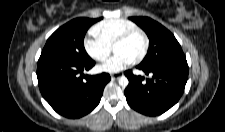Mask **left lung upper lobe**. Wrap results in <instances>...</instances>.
<instances>
[{
	"label": "left lung upper lobe",
	"mask_w": 225,
	"mask_h": 132,
	"mask_svg": "<svg viewBox=\"0 0 225 132\" xmlns=\"http://www.w3.org/2000/svg\"><path fill=\"white\" fill-rule=\"evenodd\" d=\"M148 35L150 47L141 66L155 65L161 62L186 60L180 44L174 35L158 22L148 17H130Z\"/></svg>",
	"instance_id": "obj_1"
}]
</instances>
